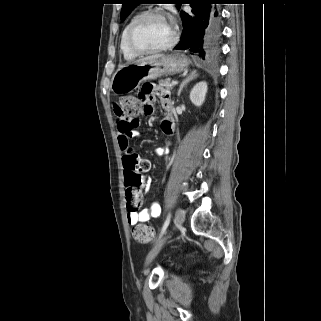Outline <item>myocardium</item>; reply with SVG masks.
<instances>
[{"label": "myocardium", "mask_w": 321, "mask_h": 321, "mask_svg": "<svg viewBox=\"0 0 321 321\" xmlns=\"http://www.w3.org/2000/svg\"><path fill=\"white\" fill-rule=\"evenodd\" d=\"M150 17H161L164 18L166 20L169 21L168 16L166 15V13H164L163 11L160 10H149L146 11L142 14H140V16L132 23V25L130 26L128 33H127V45L128 48L135 54L137 55H147V54H155V53H160L166 50L171 49L178 41L179 38V33H178V29L177 27L171 23L170 24L172 26V37L170 39V41L160 47L157 48H152V49H142L139 48L135 45L134 43V34L135 31L137 30V28L139 27V25L145 21L146 19L150 18Z\"/></svg>", "instance_id": "f54148a6"}]
</instances>
